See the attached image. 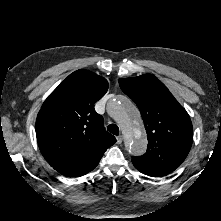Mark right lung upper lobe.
<instances>
[{
    "instance_id": "obj_1",
    "label": "right lung upper lobe",
    "mask_w": 221,
    "mask_h": 221,
    "mask_svg": "<svg viewBox=\"0 0 221 221\" xmlns=\"http://www.w3.org/2000/svg\"><path fill=\"white\" fill-rule=\"evenodd\" d=\"M107 89L106 79L80 69L45 100L37 116L36 136L42 155L52 167L106 150L116 142L93 107Z\"/></svg>"
}]
</instances>
